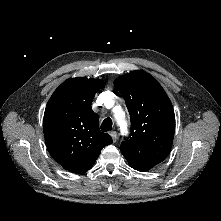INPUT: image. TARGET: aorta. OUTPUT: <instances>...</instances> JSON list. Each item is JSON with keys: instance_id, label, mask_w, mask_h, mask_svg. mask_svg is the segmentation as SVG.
<instances>
[{"instance_id": "762f6f07", "label": "aorta", "mask_w": 221, "mask_h": 221, "mask_svg": "<svg viewBox=\"0 0 221 221\" xmlns=\"http://www.w3.org/2000/svg\"><path fill=\"white\" fill-rule=\"evenodd\" d=\"M119 125H120L122 130H123V128H126V122L124 120H120Z\"/></svg>"}]
</instances>
